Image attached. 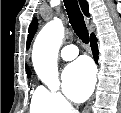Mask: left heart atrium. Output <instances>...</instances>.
Wrapping results in <instances>:
<instances>
[{
	"label": "left heart atrium",
	"mask_w": 121,
	"mask_h": 113,
	"mask_svg": "<svg viewBox=\"0 0 121 113\" xmlns=\"http://www.w3.org/2000/svg\"><path fill=\"white\" fill-rule=\"evenodd\" d=\"M95 83V70L92 63L79 59L68 65L63 72V90L67 97L82 102L89 97Z\"/></svg>",
	"instance_id": "1"
}]
</instances>
